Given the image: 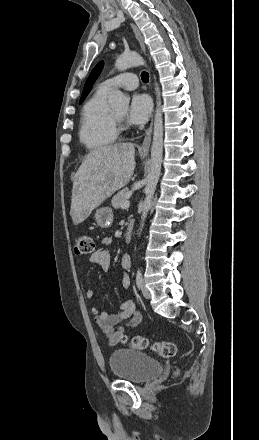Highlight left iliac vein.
I'll return each mask as SVG.
<instances>
[{
  "instance_id": "obj_1",
  "label": "left iliac vein",
  "mask_w": 259,
  "mask_h": 440,
  "mask_svg": "<svg viewBox=\"0 0 259 440\" xmlns=\"http://www.w3.org/2000/svg\"><path fill=\"white\" fill-rule=\"evenodd\" d=\"M141 291H142L143 296L146 299H150L151 298V293H150L149 289L144 286V284H142V286H141Z\"/></svg>"
}]
</instances>
